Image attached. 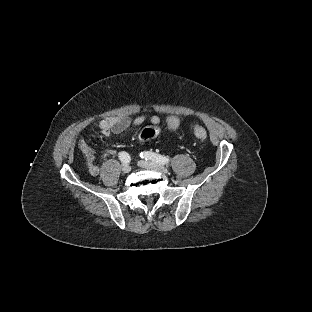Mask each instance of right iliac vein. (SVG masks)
<instances>
[{
  "label": "right iliac vein",
  "instance_id": "63e3f726",
  "mask_svg": "<svg viewBox=\"0 0 312 312\" xmlns=\"http://www.w3.org/2000/svg\"><path fill=\"white\" fill-rule=\"evenodd\" d=\"M122 171H123L124 173H129V172L131 171L130 165L127 164V163L123 164V166H122Z\"/></svg>",
  "mask_w": 312,
  "mask_h": 312
}]
</instances>
